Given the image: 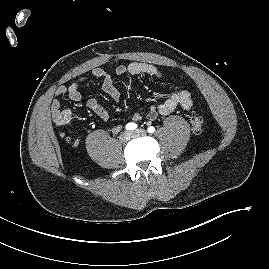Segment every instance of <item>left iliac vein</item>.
<instances>
[{"label":"left iliac vein","mask_w":269,"mask_h":269,"mask_svg":"<svg viewBox=\"0 0 269 269\" xmlns=\"http://www.w3.org/2000/svg\"><path fill=\"white\" fill-rule=\"evenodd\" d=\"M146 134H147V132L144 129H138V130L132 132V137L145 136Z\"/></svg>","instance_id":"obj_1"}]
</instances>
